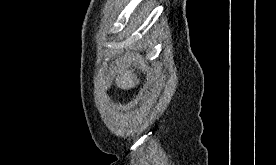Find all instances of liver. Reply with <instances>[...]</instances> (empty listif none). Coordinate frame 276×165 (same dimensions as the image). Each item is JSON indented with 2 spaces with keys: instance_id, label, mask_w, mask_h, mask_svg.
Listing matches in <instances>:
<instances>
[{
  "instance_id": "1",
  "label": "liver",
  "mask_w": 276,
  "mask_h": 165,
  "mask_svg": "<svg viewBox=\"0 0 276 165\" xmlns=\"http://www.w3.org/2000/svg\"><path fill=\"white\" fill-rule=\"evenodd\" d=\"M114 70L117 74L115 82L118 87L122 89H130L135 87L136 83H138L137 77L133 75L131 71L126 70L123 65L117 64V67H115Z\"/></svg>"
}]
</instances>
